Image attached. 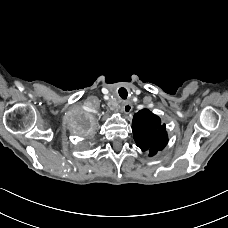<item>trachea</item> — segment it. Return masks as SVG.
<instances>
[{"mask_svg":"<svg viewBox=\"0 0 228 228\" xmlns=\"http://www.w3.org/2000/svg\"><path fill=\"white\" fill-rule=\"evenodd\" d=\"M119 93V96L122 98V99H127L128 97V92L125 88L121 87L118 91Z\"/></svg>","mask_w":228,"mask_h":228,"instance_id":"trachea-1","label":"trachea"}]
</instances>
